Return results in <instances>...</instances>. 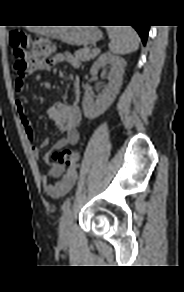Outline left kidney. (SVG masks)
Here are the masks:
<instances>
[{
  "mask_svg": "<svg viewBox=\"0 0 184 292\" xmlns=\"http://www.w3.org/2000/svg\"><path fill=\"white\" fill-rule=\"evenodd\" d=\"M111 65L112 69L108 75L109 83L96 97L94 101V94L90 91L84 93L82 106L84 115L92 120L103 114L110 105L114 102L119 90L122 86L123 75L126 67V62L120 57L105 53L93 63L90 73L93 76L98 74L101 67Z\"/></svg>",
  "mask_w": 184,
  "mask_h": 292,
  "instance_id": "5707ae66",
  "label": "left kidney"
}]
</instances>
